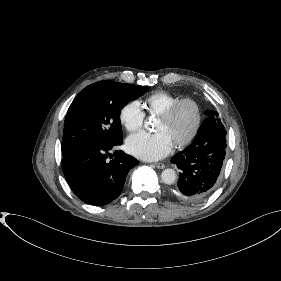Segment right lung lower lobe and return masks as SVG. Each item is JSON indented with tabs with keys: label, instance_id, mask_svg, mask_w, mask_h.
Listing matches in <instances>:
<instances>
[{
	"label": "right lung lower lobe",
	"instance_id": "obj_1",
	"mask_svg": "<svg viewBox=\"0 0 281 281\" xmlns=\"http://www.w3.org/2000/svg\"><path fill=\"white\" fill-rule=\"evenodd\" d=\"M122 140L105 145H84L63 154L65 179L76 196L90 205L102 206L116 199L123 190L130 169L139 164L123 151H115L108 160L109 150Z\"/></svg>",
	"mask_w": 281,
	"mask_h": 281
}]
</instances>
